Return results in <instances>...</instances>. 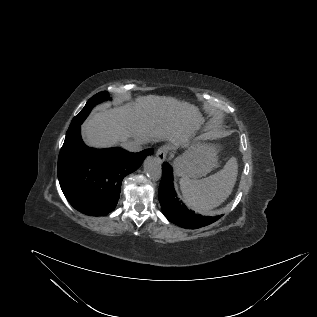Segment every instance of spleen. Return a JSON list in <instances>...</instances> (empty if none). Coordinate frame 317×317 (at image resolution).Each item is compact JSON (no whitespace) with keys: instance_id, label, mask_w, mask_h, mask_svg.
Returning <instances> with one entry per match:
<instances>
[{"instance_id":"3e777b00","label":"spleen","mask_w":317,"mask_h":317,"mask_svg":"<svg viewBox=\"0 0 317 317\" xmlns=\"http://www.w3.org/2000/svg\"><path fill=\"white\" fill-rule=\"evenodd\" d=\"M238 174L235 157L230 158L223 169L201 179H180V189L186 204L199 213H207L223 203L231 194Z\"/></svg>"}]
</instances>
